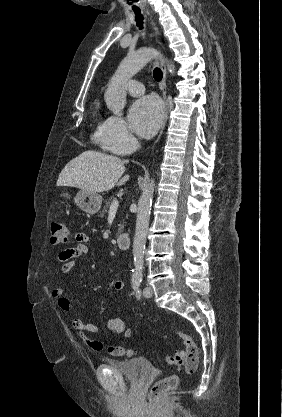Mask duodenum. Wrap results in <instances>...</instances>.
<instances>
[{"instance_id": "410a0bca", "label": "duodenum", "mask_w": 282, "mask_h": 417, "mask_svg": "<svg viewBox=\"0 0 282 417\" xmlns=\"http://www.w3.org/2000/svg\"><path fill=\"white\" fill-rule=\"evenodd\" d=\"M129 240L130 236L128 234H119L115 239L117 246L122 250L128 249Z\"/></svg>"}]
</instances>
